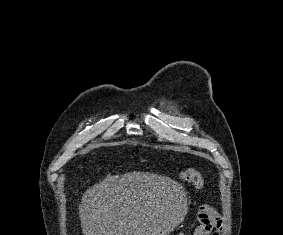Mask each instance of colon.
<instances>
[{"label": "colon", "instance_id": "obj_1", "mask_svg": "<svg viewBox=\"0 0 283 235\" xmlns=\"http://www.w3.org/2000/svg\"><path fill=\"white\" fill-rule=\"evenodd\" d=\"M182 179L191 183L197 188H202L204 185V179L202 175L194 168H186L181 173Z\"/></svg>", "mask_w": 283, "mask_h": 235}]
</instances>
